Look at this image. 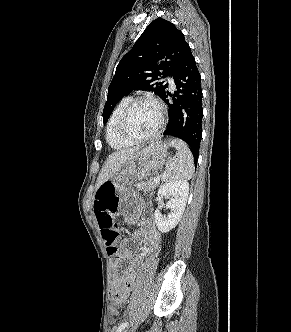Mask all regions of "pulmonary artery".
<instances>
[{"label":"pulmonary artery","instance_id":"1","mask_svg":"<svg viewBox=\"0 0 291 332\" xmlns=\"http://www.w3.org/2000/svg\"><path fill=\"white\" fill-rule=\"evenodd\" d=\"M168 83H169V85L171 86V88H174L175 83H174V80H173L172 77H168Z\"/></svg>","mask_w":291,"mask_h":332}]
</instances>
